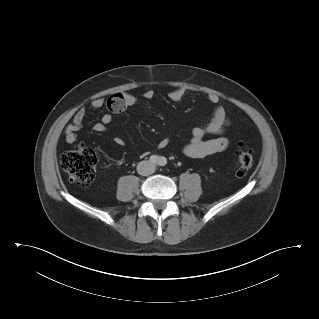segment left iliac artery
<instances>
[{
	"label": "left iliac artery",
	"instance_id": "44dca946",
	"mask_svg": "<svg viewBox=\"0 0 319 319\" xmlns=\"http://www.w3.org/2000/svg\"><path fill=\"white\" fill-rule=\"evenodd\" d=\"M160 166H165L167 164V159L165 157H160L158 160Z\"/></svg>",
	"mask_w": 319,
	"mask_h": 319
}]
</instances>
